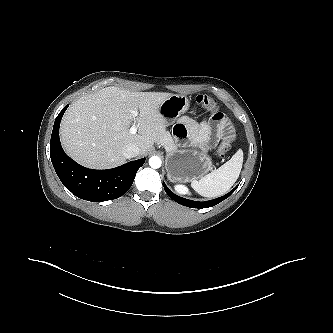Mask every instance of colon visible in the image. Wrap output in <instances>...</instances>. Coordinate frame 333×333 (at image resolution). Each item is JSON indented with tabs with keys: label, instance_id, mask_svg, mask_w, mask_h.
Segmentation results:
<instances>
[{
	"label": "colon",
	"instance_id": "1",
	"mask_svg": "<svg viewBox=\"0 0 333 333\" xmlns=\"http://www.w3.org/2000/svg\"><path fill=\"white\" fill-rule=\"evenodd\" d=\"M196 102L199 106L214 112L215 114L219 113V105L217 103V101L206 95V94H200L197 96L196 98ZM234 132V130L232 128H230L229 130V136L227 138H225L219 145L218 149H217V155L221 158L225 157L227 155V153L231 150V135Z\"/></svg>",
	"mask_w": 333,
	"mask_h": 333
}]
</instances>
